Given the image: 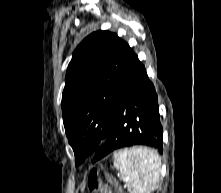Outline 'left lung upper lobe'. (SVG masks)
I'll list each match as a JSON object with an SVG mask.
<instances>
[{"label": "left lung upper lobe", "mask_w": 221, "mask_h": 193, "mask_svg": "<svg viewBox=\"0 0 221 193\" xmlns=\"http://www.w3.org/2000/svg\"><path fill=\"white\" fill-rule=\"evenodd\" d=\"M135 56L126 42L108 31L90 34L75 49L67 69L62 114L76 165L109 134L119 88Z\"/></svg>", "instance_id": "5c2ea615"}]
</instances>
